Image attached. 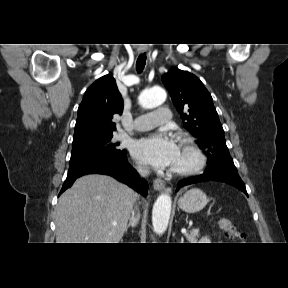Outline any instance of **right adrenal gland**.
Wrapping results in <instances>:
<instances>
[{
  "mask_svg": "<svg viewBox=\"0 0 288 288\" xmlns=\"http://www.w3.org/2000/svg\"><path fill=\"white\" fill-rule=\"evenodd\" d=\"M139 219H140L139 212H137L136 215L132 214V216L129 219V223L127 224V226L125 228V232L128 231L129 227L135 228L139 222Z\"/></svg>",
  "mask_w": 288,
  "mask_h": 288,
  "instance_id": "obj_1",
  "label": "right adrenal gland"
}]
</instances>
